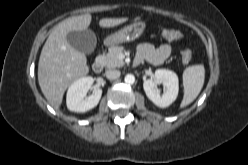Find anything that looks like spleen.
<instances>
[{"label":"spleen","instance_id":"1","mask_svg":"<svg viewBox=\"0 0 248 165\" xmlns=\"http://www.w3.org/2000/svg\"><path fill=\"white\" fill-rule=\"evenodd\" d=\"M205 78L203 65L187 67L183 72L184 96L180 107L184 108L192 103L199 95Z\"/></svg>","mask_w":248,"mask_h":165}]
</instances>
